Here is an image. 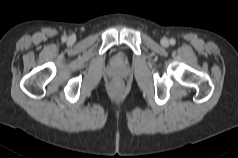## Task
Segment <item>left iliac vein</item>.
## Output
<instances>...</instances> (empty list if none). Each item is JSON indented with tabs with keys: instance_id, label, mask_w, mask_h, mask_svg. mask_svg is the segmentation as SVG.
Instances as JSON below:
<instances>
[{
	"instance_id": "left-iliac-vein-1",
	"label": "left iliac vein",
	"mask_w": 238,
	"mask_h": 158,
	"mask_svg": "<svg viewBox=\"0 0 238 158\" xmlns=\"http://www.w3.org/2000/svg\"><path fill=\"white\" fill-rule=\"evenodd\" d=\"M161 44L163 45V46H168L169 45V41H168V39L167 38H163L162 40H161Z\"/></svg>"
}]
</instances>
